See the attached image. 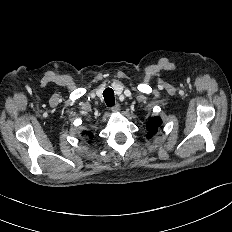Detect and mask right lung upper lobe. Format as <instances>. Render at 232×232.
Here are the masks:
<instances>
[{"instance_id":"obj_1","label":"right lung upper lobe","mask_w":232,"mask_h":232,"mask_svg":"<svg viewBox=\"0 0 232 232\" xmlns=\"http://www.w3.org/2000/svg\"><path fill=\"white\" fill-rule=\"evenodd\" d=\"M83 134H85L86 136H90L92 138V133L91 132H87V131H84Z\"/></svg>"}]
</instances>
